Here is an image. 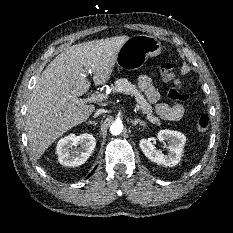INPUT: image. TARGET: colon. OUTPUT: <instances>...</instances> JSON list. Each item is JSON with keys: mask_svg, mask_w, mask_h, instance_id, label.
Instances as JSON below:
<instances>
[{"mask_svg": "<svg viewBox=\"0 0 233 233\" xmlns=\"http://www.w3.org/2000/svg\"><path fill=\"white\" fill-rule=\"evenodd\" d=\"M160 73L163 81H165L166 83H171L176 85L175 82L177 80V75L173 64L163 63L160 66ZM167 96L171 101L175 103L185 101L188 97L187 94L177 85L168 91ZM196 126L200 132L202 133L208 132L210 126V121L208 116L206 114H200L197 117Z\"/></svg>", "mask_w": 233, "mask_h": 233, "instance_id": "colon-1", "label": "colon"}]
</instances>
